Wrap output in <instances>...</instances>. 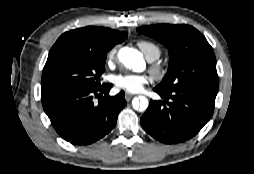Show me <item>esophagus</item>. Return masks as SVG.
<instances>
[{
  "mask_svg": "<svg viewBox=\"0 0 254 174\" xmlns=\"http://www.w3.org/2000/svg\"><path fill=\"white\" fill-rule=\"evenodd\" d=\"M133 97H134L133 94H130V93H126V94H125V99H126L127 101H130Z\"/></svg>",
  "mask_w": 254,
  "mask_h": 174,
  "instance_id": "esophagus-1",
  "label": "esophagus"
}]
</instances>
